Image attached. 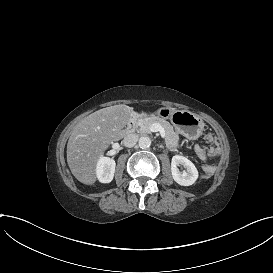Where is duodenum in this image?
<instances>
[{
    "label": "duodenum",
    "mask_w": 273,
    "mask_h": 273,
    "mask_svg": "<svg viewBox=\"0 0 273 273\" xmlns=\"http://www.w3.org/2000/svg\"><path fill=\"white\" fill-rule=\"evenodd\" d=\"M142 115L141 112H133L125 129L124 134H130L134 131L138 118Z\"/></svg>",
    "instance_id": "obj_1"
}]
</instances>
